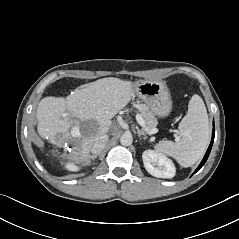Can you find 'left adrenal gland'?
<instances>
[{
    "instance_id": "left-adrenal-gland-1",
    "label": "left adrenal gland",
    "mask_w": 239,
    "mask_h": 239,
    "mask_svg": "<svg viewBox=\"0 0 239 239\" xmlns=\"http://www.w3.org/2000/svg\"><path fill=\"white\" fill-rule=\"evenodd\" d=\"M137 133H138V136H139V137H140V136H143V139H144V140L147 138L146 134H145L142 130L137 129Z\"/></svg>"
}]
</instances>
